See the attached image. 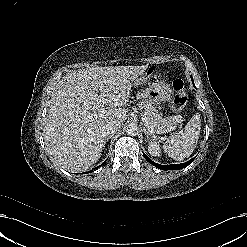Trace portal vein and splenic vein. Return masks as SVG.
<instances>
[{
	"mask_svg": "<svg viewBox=\"0 0 247 247\" xmlns=\"http://www.w3.org/2000/svg\"><path fill=\"white\" fill-rule=\"evenodd\" d=\"M105 112H106V110H105L104 108L100 109V111H99V113H100L101 115L105 114ZM95 116H97V115H96V114H95V115H94V114H90V115L88 116V118H89V119H93V117H95ZM142 120L144 121L145 125L147 126V125H148V119H147V117L143 116ZM173 129H174V128L172 127V128H170V129H168V130L162 131V133H165V132H167V131H171V130H173Z\"/></svg>",
	"mask_w": 247,
	"mask_h": 247,
	"instance_id": "portal-vein-and-splenic-vein-1",
	"label": "portal vein and splenic vein"
}]
</instances>
